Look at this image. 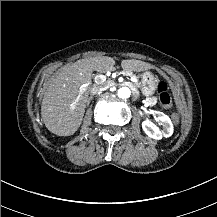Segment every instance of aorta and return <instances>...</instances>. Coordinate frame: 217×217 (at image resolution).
Returning <instances> with one entry per match:
<instances>
[{
    "label": "aorta",
    "mask_w": 217,
    "mask_h": 217,
    "mask_svg": "<svg viewBox=\"0 0 217 217\" xmlns=\"http://www.w3.org/2000/svg\"><path fill=\"white\" fill-rule=\"evenodd\" d=\"M117 94L119 98L126 99L130 97L131 90L128 87H121Z\"/></svg>",
    "instance_id": "1"
}]
</instances>
